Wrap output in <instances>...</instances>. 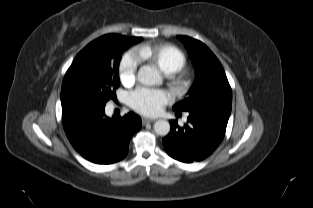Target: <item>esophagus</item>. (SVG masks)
Segmentation results:
<instances>
[{
    "instance_id": "esophagus-1",
    "label": "esophagus",
    "mask_w": 313,
    "mask_h": 208,
    "mask_svg": "<svg viewBox=\"0 0 313 208\" xmlns=\"http://www.w3.org/2000/svg\"><path fill=\"white\" fill-rule=\"evenodd\" d=\"M155 119H149V118H142V124L145 125L147 123H152L154 122Z\"/></svg>"
}]
</instances>
